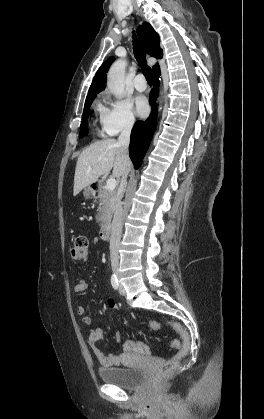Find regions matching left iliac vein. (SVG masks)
I'll return each mask as SVG.
<instances>
[{"mask_svg": "<svg viewBox=\"0 0 264 419\" xmlns=\"http://www.w3.org/2000/svg\"><path fill=\"white\" fill-rule=\"evenodd\" d=\"M119 292H120L121 295H124L125 294V290H124V288L121 285H120Z\"/></svg>", "mask_w": 264, "mask_h": 419, "instance_id": "left-iliac-vein-1", "label": "left iliac vein"}]
</instances>
